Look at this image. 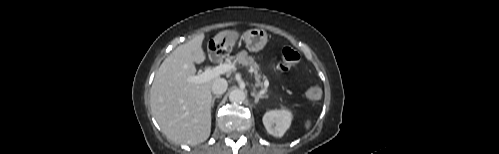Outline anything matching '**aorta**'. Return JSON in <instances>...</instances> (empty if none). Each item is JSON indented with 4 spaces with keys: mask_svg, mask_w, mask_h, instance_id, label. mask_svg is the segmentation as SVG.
Returning <instances> with one entry per match:
<instances>
[{
    "mask_svg": "<svg viewBox=\"0 0 499 154\" xmlns=\"http://www.w3.org/2000/svg\"><path fill=\"white\" fill-rule=\"evenodd\" d=\"M245 98H246L245 93L241 89H234L229 94V100L232 103H242L245 100Z\"/></svg>",
    "mask_w": 499,
    "mask_h": 154,
    "instance_id": "obj_1",
    "label": "aorta"
}]
</instances>
